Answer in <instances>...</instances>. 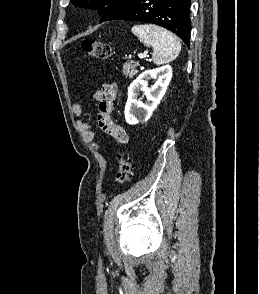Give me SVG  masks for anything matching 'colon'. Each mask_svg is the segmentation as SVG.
I'll list each match as a JSON object with an SVG mask.
<instances>
[{"label": "colon", "mask_w": 259, "mask_h": 294, "mask_svg": "<svg viewBox=\"0 0 259 294\" xmlns=\"http://www.w3.org/2000/svg\"><path fill=\"white\" fill-rule=\"evenodd\" d=\"M82 49L96 59H108L112 54L111 46L100 39H86L82 42ZM132 163L126 157H121L117 172V181L120 184L128 182L133 175Z\"/></svg>", "instance_id": "obj_1"}]
</instances>
